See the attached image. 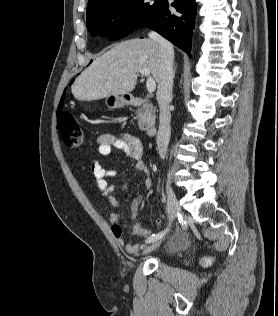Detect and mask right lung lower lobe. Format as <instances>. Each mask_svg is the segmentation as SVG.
I'll list each match as a JSON object with an SVG mask.
<instances>
[{
  "instance_id": "98d812e1",
  "label": "right lung lower lobe",
  "mask_w": 278,
  "mask_h": 316,
  "mask_svg": "<svg viewBox=\"0 0 278 316\" xmlns=\"http://www.w3.org/2000/svg\"><path fill=\"white\" fill-rule=\"evenodd\" d=\"M169 6L166 0L158 1L152 15L142 26L155 30L191 57V38L196 16L195 0H174L171 6L178 14H171Z\"/></svg>"
}]
</instances>
